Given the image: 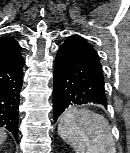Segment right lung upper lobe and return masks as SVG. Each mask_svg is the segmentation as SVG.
Returning <instances> with one entry per match:
<instances>
[{
	"label": "right lung upper lobe",
	"instance_id": "1",
	"mask_svg": "<svg viewBox=\"0 0 130 153\" xmlns=\"http://www.w3.org/2000/svg\"><path fill=\"white\" fill-rule=\"evenodd\" d=\"M20 49L21 47L14 39L8 37L0 39V63L20 56Z\"/></svg>",
	"mask_w": 130,
	"mask_h": 153
}]
</instances>
